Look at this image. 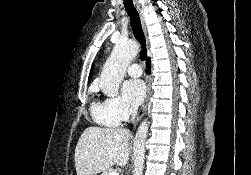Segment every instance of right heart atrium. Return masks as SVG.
Segmentation results:
<instances>
[{
  "mask_svg": "<svg viewBox=\"0 0 251 175\" xmlns=\"http://www.w3.org/2000/svg\"><path fill=\"white\" fill-rule=\"evenodd\" d=\"M107 115L117 124L133 118L136 110L119 96L106 98L103 102Z\"/></svg>",
  "mask_w": 251,
  "mask_h": 175,
  "instance_id": "obj_1",
  "label": "right heart atrium"
}]
</instances>
